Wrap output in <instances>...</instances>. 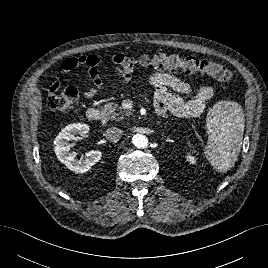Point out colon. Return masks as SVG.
<instances>
[{
  "label": "colon",
  "instance_id": "5ec220e1",
  "mask_svg": "<svg viewBox=\"0 0 268 268\" xmlns=\"http://www.w3.org/2000/svg\"><path fill=\"white\" fill-rule=\"evenodd\" d=\"M118 66L122 69L133 66L151 67L156 70L181 69L187 75L201 74L220 82H229L233 77L232 73L221 64L195 56H182L179 54L158 53L152 57H141L138 60L121 55ZM78 96L79 92L75 87H67L60 94L50 93L47 105L52 110L69 112L74 109Z\"/></svg>",
  "mask_w": 268,
  "mask_h": 268
}]
</instances>
